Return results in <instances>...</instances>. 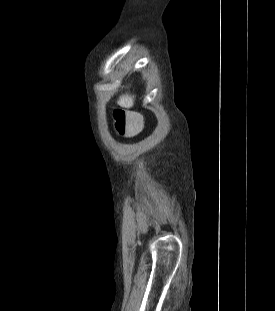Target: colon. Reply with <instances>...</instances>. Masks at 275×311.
Instances as JSON below:
<instances>
[{
    "label": "colon",
    "instance_id": "5ec220e1",
    "mask_svg": "<svg viewBox=\"0 0 275 311\" xmlns=\"http://www.w3.org/2000/svg\"><path fill=\"white\" fill-rule=\"evenodd\" d=\"M114 117L116 131L122 136L137 132L141 126V118L138 115H125L121 111H116Z\"/></svg>",
    "mask_w": 275,
    "mask_h": 311
}]
</instances>
